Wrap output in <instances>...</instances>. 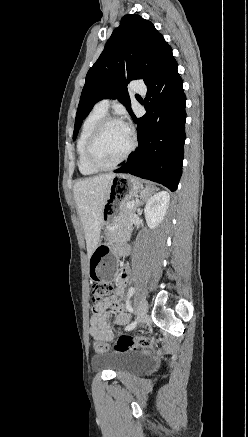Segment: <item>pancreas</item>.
Returning <instances> with one entry per match:
<instances>
[{"label":"pancreas","instance_id":"1","mask_svg":"<svg viewBox=\"0 0 248 437\" xmlns=\"http://www.w3.org/2000/svg\"><path fill=\"white\" fill-rule=\"evenodd\" d=\"M127 203H129V202L124 203L122 210H121V213H120V217H119L120 229L118 231H116V233L118 232L117 233L118 237H120L121 234H123L126 229L132 228V217L136 212V206L133 205L131 207H128ZM115 234H114V236H115Z\"/></svg>","mask_w":248,"mask_h":437}]
</instances>
